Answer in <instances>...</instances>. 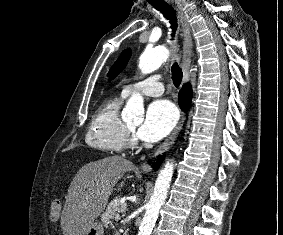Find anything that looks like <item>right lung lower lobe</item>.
Returning <instances> with one entry per match:
<instances>
[{"instance_id": "98d812e1", "label": "right lung lower lobe", "mask_w": 283, "mask_h": 235, "mask_svg": "<svg viewBox=\"0 0 283 235\" xmlns=\"http://www.w3.org/2000/svg\"><path fill=\"white\" fill-rule=\"evenodd\" d=\"M191 98H192V90H191L190 85L187 84L181 89L179 96H178V101H179V105L181 109L183 110L188 109V107L191 104ZM158 161L161 162L162 158L160 157ZM157 166H158L157 163L153 164V167H157Z\"/></svg>"}]
</instances>
